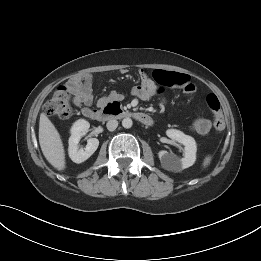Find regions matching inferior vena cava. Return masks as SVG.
Here are the masks:
<instances>
[{
    "label": "inferior vena cava",
    "instance_id": "1",
    "mask_svg": "<svg viewBox=\"0 0 261 261\" xmlns=\"http://www.w3.org/2000/svg\"><path fill=\"white\" fill-rule=\"evenodd\" d=\"M106 126H107V129H108L109 131H114V130L117 128V126H118V121L115 120V119H110V120L107 122Z\"/></svg>",
    "mask_w": 261,
    "mask_h": 261
}]
</instances>
